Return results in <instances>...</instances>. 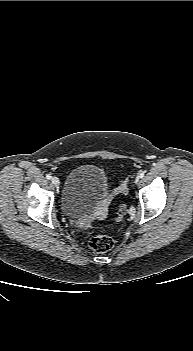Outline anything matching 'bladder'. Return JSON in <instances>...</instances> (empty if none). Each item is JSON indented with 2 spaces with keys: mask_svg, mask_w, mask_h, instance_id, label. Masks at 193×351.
I'll return each instance as SVG.
<instances>
[{
  "mask_svg": "<svg viewBox=\"0 0 193 351\" xmlns=\"http://www.w3.org/2000/svg\"><path fill=\"white\" fill-rule=\"evenodd\" d=\"M110 185L105 171L95 165L74 168L66 179L61 207L71 219L93 216L102 200H109Z\"/></svg>",
  "mask_w": 193,
  "mask_h": 351,
  "instance_id": "1",
  "label": "bladder"
}]
</instances>
